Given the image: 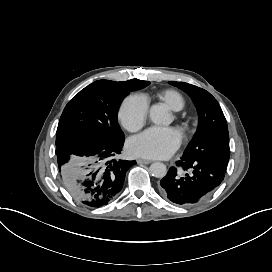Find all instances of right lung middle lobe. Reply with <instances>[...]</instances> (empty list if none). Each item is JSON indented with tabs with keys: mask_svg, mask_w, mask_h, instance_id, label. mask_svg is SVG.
Masks as SVG:
<instances>
[{
	"mask_svg": "<svg viewBox=\"0 0 272 272\" xmlns=\"http://www.w3.org/2000/svg\"><path fill=\"white\" fill-rule=\"evenodd\" d=\"M150 84L132 79L98 80L82 89L65 107L56 134V146L76 138H91L107 144L124 141L117 113L122 99L132 90Z\"/></svg>",
	"mask_w": 272,
	"mask_h": 272,
	"instance_id": "dd1d6c3e",
	"label": "right lung middle lobe"
}]
</instances>
